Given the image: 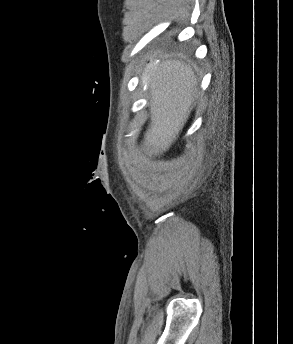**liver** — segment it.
Here are the masks:
<instances>
[{
  "label": "liver",
  "instance_id": "1",
  "mask_svg": "<svg viewBox=\"0 0 293 344\" xmlns=\"http://www.w3.org/2000/svg\"><path fill=\"white\" fill-rule=\"evenodd\" d=\"M142 80L150 89L151 124L141 151L151 157L167 151L177 139L198 93V81L192 68L180 60L148 65Z\"/></svg>",
  "mask_w": 293,
  "mask_h": 344
}]
</instances>
